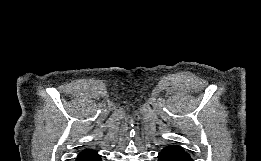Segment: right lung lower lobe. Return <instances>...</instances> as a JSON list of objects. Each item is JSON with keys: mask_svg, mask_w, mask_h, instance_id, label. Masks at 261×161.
I'll return each mask as SVG.
<instances>
[{"mask_svg": "<svg viewBox=\"0 0 261 161\" xmlns=\"http://www.w3.org/2000/svg\"><path fill=\"white\" fill-rule=\"evenodd\" d=\"M76 161H101V158L96 151L86 149L77 156Z\"/></svg>", "mask_w": 261, "mask_h": 161, "instance_id": "1", "label": "right lung lower lobe"}]
</instances>
